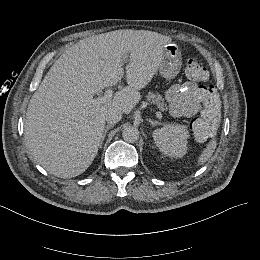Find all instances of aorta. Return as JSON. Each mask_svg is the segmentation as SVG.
<instances>
[{
	"label": "aorta",
	"mask_w": 260,
	"mask_h": 260,
	"mask_svg": "<svg viewBox=\"0 0 260 260\" xmlns=\"http://www.w3.org/2000/svg\"><path fill=\"white\" fill-rule=\"evenodd\" d=\"M122 137L126 142L134 143L139 139V130L133 126H126L123 129Z\"/></svg>",
	"instance_id": "762f6f07"
}]
</instances>
